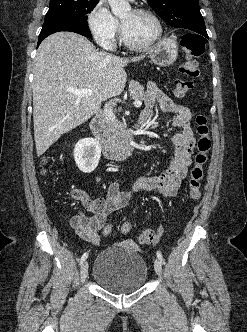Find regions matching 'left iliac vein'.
I'll use <instances>...</instances> for the list:
<instances>
[{
	"label": "left iliac vein",
	"instance_id": "obj_1",
	"mask_svg": "<svg viewBox=\"0 0 247 332\" xmlns=\"http://www.w3.org/2000/svg\"><path fill=\"white\" fill-rule=\"evenodd\" d=\"M154 269L155 272L159 275L162 276V265H161V261L159 259H156L154 261Z\"/></svg>",
	"mask_w": 247,
	"mask_h": 332
}]
</instances>
